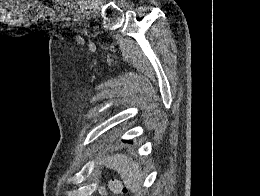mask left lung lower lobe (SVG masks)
<instances>
[{
	"instance_id": "1",
	"label": "left lung lower lobe",
	"mask_w": 260,
	"mask_h": 196,
	"mask_svg": "<svg viewBox=\"0 0 260 196\" xmlns=\"http://www.w3.org/2000/svg\"><path fill=\"white\" fill-rule=\"evenodd\" d=\"M125 142L131 143L130 141H125Z\"/></svg>"
}]
</instances>
